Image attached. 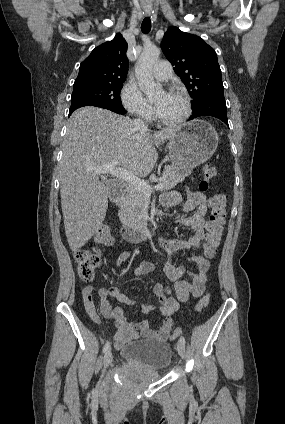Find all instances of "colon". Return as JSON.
<instances>
[{
	"mask_svg": "<svg viewBox=\"0 0 285 424\" xmlns=\"http://www.w3.org/2000/svg\"><path fill=\"white\" fill-rule=\"evenodd\" d=\"M217 168L213 164H207L203 170L202 179L199 183V190L207 192L209 182L217 175ZM209 205L211 214L208 221L207 238L205 251L208 256H214L220 245L224 231L227 215V197L224 193H215L210 197ZM96 241L105 246H111L114 238L111 229L107 225L99 228L96 234ZM74 258L78 264V275L83 281H91L95 276V270L100 265L101 257L95 249H80L74 251ZM209 295H204L197 303L196 310L202 311L208 306ZM180 329H175L171 334V339H175L180 334Z\"/></svg>",
	"mask_w": 285,
	"mask_h": 424,
	"instance_id": "obj_1",
	"label": "colon"
}]
</instances>
